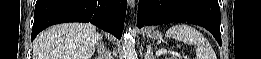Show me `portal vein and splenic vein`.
Here are the masks:
<instances>
[{
    "label": "portal vein and splenic vein",
    "mask_w": 261,
    "mask_h": 59,
    "mask_svg": "<svg viewBox=\"0 0 261 59\" xmlns=\"http://www.w3.org/2000/svg\"><path fill=\"white\" fill-rule=\"evenodd\" d=\"M167 53H168L167 50L161 49V50H158L156 54L161 55V54H167Z\"/></svg>",
    "instance_id": "portal-vein-and-splenic-vein-1"
}]
</instances>
